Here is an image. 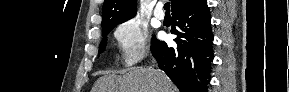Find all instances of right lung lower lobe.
I'll return each instance as SVG.
<instances>
[{
	"label": "right lung lower lobe",
	"mask_w": 289,
	"mask_h": 92,
	"mask_svg": "<svg viewBox=\"0 0 289 92\" xmlns=\"http://www.w3.org/2000/svg\"><path fill=\"white\" fill-rule=\"evenodd\" d=\"M177 47L152 38L151 52L159 68L181 92H207L213 59L211 16L207 0L172 13ZM175 26H178L176 28Z\"/></svg>",
	"instance_id": "98d812e1"
}]
</instances>
